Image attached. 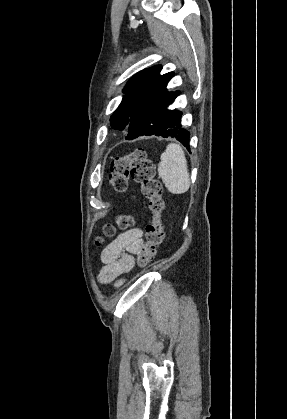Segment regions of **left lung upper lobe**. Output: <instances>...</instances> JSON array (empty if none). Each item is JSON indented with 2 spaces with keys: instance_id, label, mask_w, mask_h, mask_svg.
<instances>
[{
  "instance_id": "left-lung-upper-lobe-1",
  "label": "left lung upper lobe",
  "mask_w": 287,
  "mask_h": 419,
  "mask_svg": "<svg viewBox=\"0 0 287 419\" xmlns=\"http://www.w3.org/2000/svg\"><path fill=\"white\" fill-rule=\"evenodd\" d=\"M161 69L160 65L145 69L129 80L125 86L122 102L110 118L112 128L118 130L128 128L135 111L146 101L166 90L174 72L160 75Z\"/></svg>"
}]
</instances>
